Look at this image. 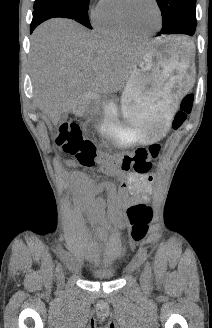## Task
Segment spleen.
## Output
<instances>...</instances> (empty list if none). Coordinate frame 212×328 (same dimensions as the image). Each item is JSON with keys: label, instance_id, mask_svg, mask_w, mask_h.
I'll return each mask as SVG.
<instances>
[{"label": "spleen", "instance_id": "spleen-1", "mask_svg": "<svg viewBox=\"0 0 212 328\" xmlns=\"http://www.w3.org/2000/svg\"><path fill=\"white\" fill-rule=\"evenodd\" d=\"M183 45L188 48L191 52L194 49V44L191 41H183Z\"/></svg>", "mask_w": 212, "mask_h": 328}]
</instances>
